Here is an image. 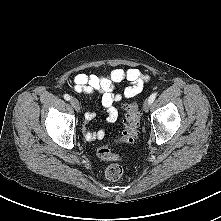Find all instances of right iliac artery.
<instances>
[{
  "instance_id": "1",
  "label": "right iliac artery",
  "mask_w": 221,
  "mask_h": 221,
  "mask_svg": "<svg viewBox=\"0 0 221 221\" xmlns=\"http://www.w3.org/2000/svg\"><path fill=\"white\" fill-rule=\"evenodd\" d=\"M64 99L68 101V100H70V96L68 94H65Z\"/></svg>"
}]
</instances>
